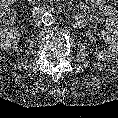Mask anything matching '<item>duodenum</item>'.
I'll list each match as a JSON object with an SVG mask.
<instances>
[{
	"label": "duodenum",
	"mask_w": 118,
	"mask_h": 118,
	"mask_svg": "<svg viewBox=\"0 0 118 118\" xmlns=\"http://www.w3.org/2000/svg\"><path fill=\"white\" fill-rule=\"evenodd\" d=\"M32 1H37V0H32ZM47 10V7L44 5V4H42V3H36V5H35V12L37 13V14H43L45 11ZM75 23L77 24V25H82L83 24V20H82V18L81 17H76V19H75Z\"/></svg>",
	"instance_id": "obj_1"
}]
</instances>
